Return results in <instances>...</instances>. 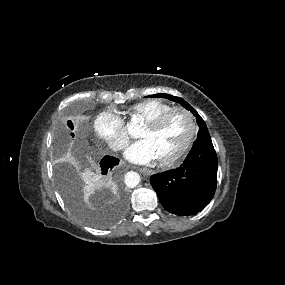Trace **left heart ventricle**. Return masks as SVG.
I'll return each mask as SVG.
<instances>
[{"mask_svg": "<svg viewBox=\"0 0 285 285\" xmlns=\"http://www.w3.org/2000/svg\"><path fill=\"white\" fill-rule=\"evenodd\" d=\"M189 131L190 126L186 117L178 113L158 129L145 125L139 136L149 140L154 146L158 158H163L174 154L183 145Z\"/></svg>", "mask_w": 285, "mask_h": 285, "instance_id": "left-heart-ventricle-1", "label": "left heart ventricle"}]
</instances>
